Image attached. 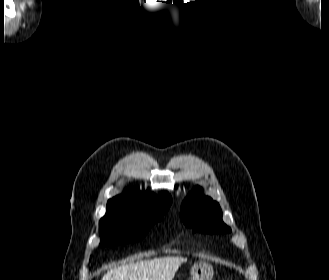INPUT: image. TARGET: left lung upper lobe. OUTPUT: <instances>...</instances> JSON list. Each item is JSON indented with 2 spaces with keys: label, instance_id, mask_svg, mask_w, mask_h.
Masks as SVG:
<instances>
[{
  "label": "left lung upper lobe",
  "instance_id": "1",
  "mask_svg": "<svg viewBox=\"0 0 329 280\" xmlns=\"http://www.w3.org/2000/svg\"><path fill=\"white\" fill-rule=\"evenodd\" d=\"M180 217L193 231L204 233H228L231 229L222 221L219 204L202 195L201 188L195 187L183 202Z\"/></svg>",
  "mask_w": 329,
  "mask_h": 280
}]
</instances>
